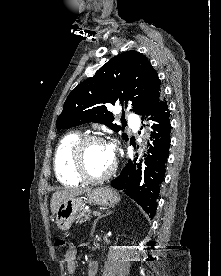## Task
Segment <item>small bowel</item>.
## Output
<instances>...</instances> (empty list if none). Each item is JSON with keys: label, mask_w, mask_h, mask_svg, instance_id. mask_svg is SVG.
<instances>
[{"label": "small bowel", "mask_w": 221, "mask_h": 276, "mask_svg": "<svg viewBox=\"0 0 221 276\" xmlns=\"http://www.w3.org/2000/svg\"><path fill=\"white\" fill-rule=\"evenodd\" d=\"M86 246V244H83ZM78 252L75 247H70L65 253V265L68 273L73 274L76 270V263L78 260ZM98 265L95 261H90L88 265V276H96Z\"/></svg>", "instance_id": "small-bowel-1"}]
</instances>
